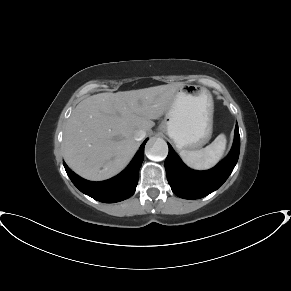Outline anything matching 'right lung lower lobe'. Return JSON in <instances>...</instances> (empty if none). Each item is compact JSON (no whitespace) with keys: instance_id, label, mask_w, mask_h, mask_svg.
<instances>
[{"instance_id":"right-lung-lower-lobe-1","label":"right lung lower lobe","mask_w":291,"mask_h":291,"mask_svg":"<svg viewBox=\"0 0 291 291\" xmlns=\"http://www.w3.org/2000/svg\"><path fill=\"white\" fill-rule=\"evenodd\" d=\"M146 142L147 139L142 143L133 160L124 171L106 181H87L71 171L65 163L63 165L73 184L84 194L104 203L119 202L129 198L135 192Z\"/></svg>"}]
</instances>
